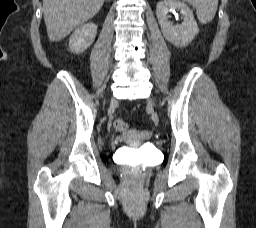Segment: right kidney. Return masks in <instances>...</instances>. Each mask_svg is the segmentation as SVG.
Listing matches in <instances>:
<instances>
[{"mask_svg":"<svg viewBox=\"0 0 256 228\" xmlns=\"http://www.w3.org/2000/svg\"><path fill=\"white\" fill-rule=\"evenodd\" d=\"M97 32V26L87 23L77 28L69 39V48L73 53L84 52L93 43Z\"/></svg>","mask_w":256,"mask_h":228,"instance_id":"obj_1","label":"right kidney"}]
</instances>
